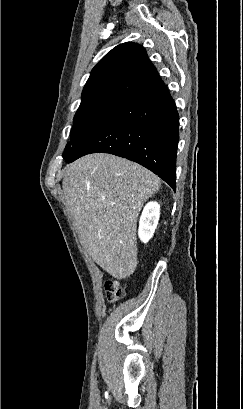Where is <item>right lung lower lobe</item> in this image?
<instances>
[{"label":"right lung lower lobe","instance_id":"98d812e1","mask_svg":"<svg viewBox=\"0 0 243 409\" xmlns=\"http://www.w3.org/2000/svg\"><path fill=\"white\" fill-rule=\"evenodd\" d=\"M179 115L158 79L126 98L114 114L66 158L103 152L137 162L176 189Z\"/></svg>","mask_w":243,"mask_h":409}]
</instances>
